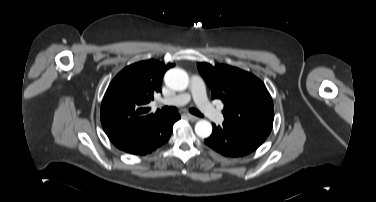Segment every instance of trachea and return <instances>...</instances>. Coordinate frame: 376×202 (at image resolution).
<instances>
[{"mask_svg":"<svg viewBox=\"0 0 376 202\" xmlns=\"http://www.w3.org/2000/svg\"><path fill=\"white\" fill-rule=\"evenodd\" d=\"M162 110L165 112V113H176L178 111V108L176 107H164L162 108ZM190 113L196 115V116H199V117H202L203 115L201 114V112H199V110L195 109V108H190L189 109Z\"/></svg>","mask_w":376,"mask_h":202,"instance_id":"trachea-1","label":"trachea"}]
</instances>
